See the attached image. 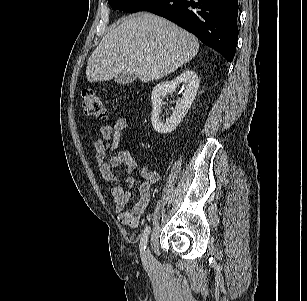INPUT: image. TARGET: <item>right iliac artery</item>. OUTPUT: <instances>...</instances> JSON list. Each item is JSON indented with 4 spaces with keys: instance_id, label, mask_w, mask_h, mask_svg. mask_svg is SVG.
<instances>
[{
    "instance_id": "obj_1",
    "label": "right iliac artery",
    "mask_w": 307,
    "mask_h": 301,
    "mask_svg": "<svg viewBox=\"0 0 307 301\" xmlns=\"http://www.w3.org/2000/svg\"><path fill=\"white\" fill-rule=\"evenodd\" d=\"M149 234H150V227L147 226L143 231L141 241H140V251H141V256H142L143 262H145L144 254H145V249H146V244H147V241H148Z\"/></svg>"
}]
</instances>
